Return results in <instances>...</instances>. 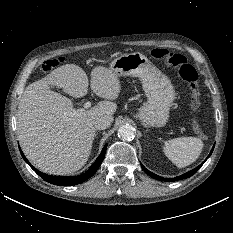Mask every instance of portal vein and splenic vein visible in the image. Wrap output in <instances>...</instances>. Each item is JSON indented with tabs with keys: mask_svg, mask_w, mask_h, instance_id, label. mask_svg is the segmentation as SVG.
<instances>
[{
	"mask_svg": "<svg viewBox=\"0 0 233 233\" xmlns=\"http://www.w3.org/2000/svg\"><path fill=\"white\" fill-rule=\"evenodd\" d=\"M91 107V102L90 101H87V102H85L84 103V108H82V109H78V110H76V111H73L72 113H71V115H73V116H78L79 114H81L83 111H85L86 109H89Z\"/></svg>",
	"mask_w": 233,
	"mask_h": 233,
	"instance_id": "1",
	"label": "portal vein and splenic vein"
}]
</instances>
